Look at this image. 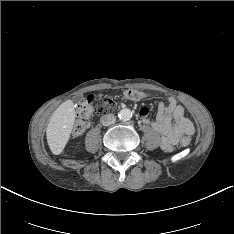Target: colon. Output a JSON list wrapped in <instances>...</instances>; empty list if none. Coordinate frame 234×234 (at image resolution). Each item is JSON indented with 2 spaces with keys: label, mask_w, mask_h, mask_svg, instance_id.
I'll list each match as a JSON object with an SVG mask.
<instances>
[{
  "label": "colon",
  "mask_w": 234,
  "mask_h": 234,
  "mask_svg": "<svg viewBox=\"0 0 234 234\" xmlns=\"http://www.w3.org/2000/svg\"><path fill=\"white\" fill-rule=\"evenodd\" d=\"M124 96L134 99H142L148 96L147 93L138 90H127L124 92ZM116 103L111 99H102L95 102L93 97H89L86 101L80 103L77 109V115L79 121L76 123L73 135L79 136L83 134L89 127L88 120L96 115H104L114 111ZM191 140L189 137H184L181 140V146L187 147Z\"/></svg>",
  "instance_id": "5ec220e1"
}]
</instances>
